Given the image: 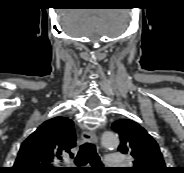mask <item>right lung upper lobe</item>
<instances>
[{"mask_svg":"<svg viewBox=\"0 0 184 173\" xmlns=\"http://www.w3.org/2000/svg\"><path fill=\"white\" fill-rule=\"evenodd\" d=\"M76 134L72 120L55 117L45 121L21 145L12 167L13 173H68V168L54 165L72 153Z\"/></svg>","mask_w":184,"mask_h":173,"instance_id":"1","label":"right lung upper lobe"}]
</instances>
